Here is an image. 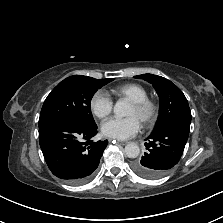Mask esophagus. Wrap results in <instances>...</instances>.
Wrapping results in <instances>:
<instances>
[{"instance_id":"esophagus-1","label":"esophagus","mask_w":223,"mask_h":223,"mask_svg":"<svg viewBox=\"0 0 223 223\" xmlns=\"http://www.w3.org/2000/svg\"><path fill=\"white\" fill-rule=\"evenodd\" d=\"M110 141H112V142H114L115 141V143L117 142V143H119V144H121V145H124V144H126L127 143V141H122V140H110Z\"/></svg>"}]
</instances>
